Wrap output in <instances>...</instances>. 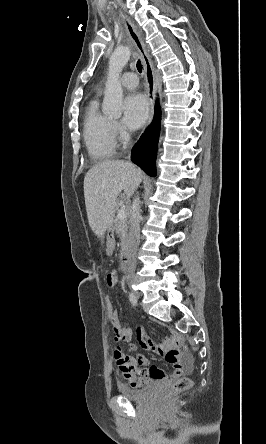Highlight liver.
<instances>
[{"mask_svg": "<svg viewBox=\"0 0 266 444\" xmlns=\"http://www.w3.org/2000/svg\"><path fill=\"white\" fill-rule=\"evenodd\" d=\"M142 180V172L123 160L105 161L93 166L84 178V197L88 221L102 239L115 216L116 199L123 190L131 197Z\"/></svg>", "mask_w": 266, "mask_h": 444, "instance_id": "obj_1", "label": "liver"}]
</instances>
